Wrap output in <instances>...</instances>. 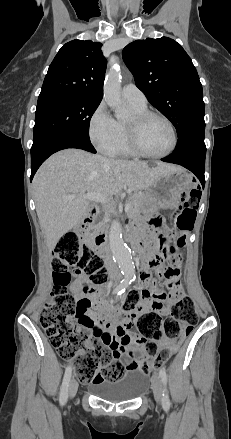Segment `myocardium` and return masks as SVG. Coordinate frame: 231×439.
<instances>
[{"label":"myocardium","mask_w":231,"mask_h":439,"mask_svg":"<svg viewBox=\"0 0 231 439\" xmlns=\"http://www.w3.org/2000/svg\"><path fill=\"white\" fill-rule=\"evenodd\" d=\"M151 117H157L165 121L172 133V145L171 147L164 153L161 154H152L147 152L141 145L139 140V131L143 123ZM127 138L128 144L132 152L138 156L148 158V159H162L169 155H171L178 145V133L177 129L172 122V120L166 116L165 114L153 111V110H145L142 112L134 113L132 118L127 122Z\"/></svg>","instance_id":"myocardium-1"}]
</instances>
